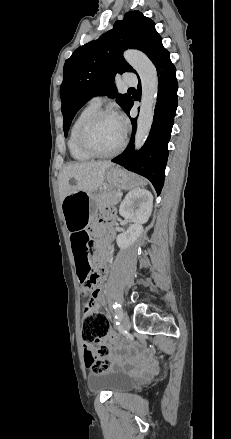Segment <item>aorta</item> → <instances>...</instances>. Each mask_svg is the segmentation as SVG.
Instances as JSON below:
<instances>
[{
  "label": "aorta",
  "instance_id": "obj_1",
  "mask_svg": "<svg viewBox=\"0 0 231 439\" xmlns=\"http://www.w3.org/2000/svg\"><path fill=\"white\" fill-rule=\"evenodd\" d=\"M124 58L137 71L142 85L141 106L135 134V148L139 149L148 137L153 123L158 76L154 64L144 53L128 50L124 53Z\"/></svg>",
  "mask_w": 231,
  "mask_h": 439
}]
</instances>
